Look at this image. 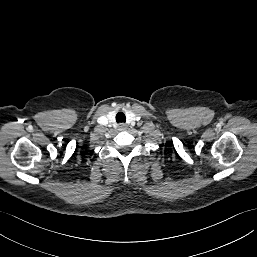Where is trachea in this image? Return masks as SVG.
Returning <instances> with one entry per match:
<instances>
[{
	"label": "trachea",
	"mask_w": 257,
	"mask_h": 257,
	"mask_svg": "<svg viewBox=\"0 0 257 257\" xmlns=\"http://www.w3.org/2000/svg\"><path fill=\"white\" fill-rule=\"evenodd\" d=\"M116 121L118 123L125 122L126 121L125 114L123 112H118L117 115H116Z\"/></svg>",
	"instance_id": "1"
}]
</instances>
